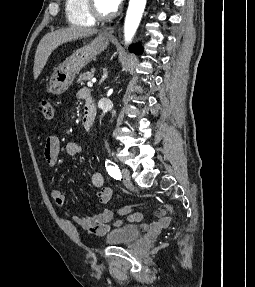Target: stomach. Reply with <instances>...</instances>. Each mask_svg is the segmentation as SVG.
Here are the masks:
<instances>
[{
    "label": "stomach",
    "mask_w": 255,
    "mask_h": 287,
    "mask_svg": "<svg viewBox=\"0 0 255 287\" xmlns=\"http://www.w3.org/2000/svg\"><path fill=\"white\" fill-rule=\"evenodd\" d=\"M111 38H113V36H101V34H99L95 40L76 50V52L70 56L67 68H65L63 72H57V70H55L49 82V92H52V94H63V92H66L73 80H75L76 74H78L84 66H87L89 62L95 60L98 54L106 50Z\"/></svg>",
    "instance_id": "1"
}]
</instances>
